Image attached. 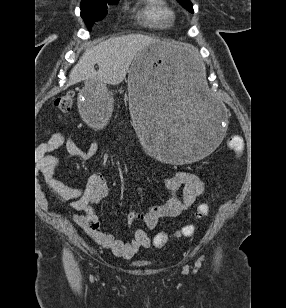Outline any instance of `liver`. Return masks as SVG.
<instances>
[{
	"instance_id": "obj_1",
	"label": "liver",
	"mask_w": 286,
	"mask_h": 308,
	"mask_svg": "<svg viewBox=\"0 0 286 308\" xmlns=\"http://www.w3.org/2000/svg\"><path fill=\"white\" fill-rule=\"evenodd\" d=\"M160 42L163 49L179 61L189 63L196 54L193 46L175 41H161L141 34L114 37L85 50L71 70L67 86L89 79L100 84H120L138 52ZM95 64L99 67L98 71L94 68Z\"/></svg>"
}]
</instances>
